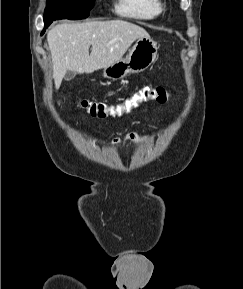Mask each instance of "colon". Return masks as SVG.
I'll return each instance as SVG.
<instances>
[{
	"mask_svg": "<svg viewBox=\"0 0 243 289\" xmlns=\"http://www.w3.org/2000/svg\"><path fill=\"white\" fill-rule=\"evenodd\" d=\"M170 99V92L164 87H143L123 101L116 104H107L87 99L79 101V106L88 114L97 118L121 117L129 114L141 104L149 101L165 103Z\"/></svg>",
	"mask_w": 243,
	"mask_h": 289,
	"instance_id": "colon-1",
	"label": "colon"
}]
</instances>
